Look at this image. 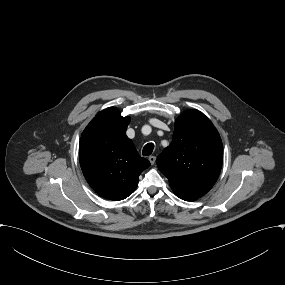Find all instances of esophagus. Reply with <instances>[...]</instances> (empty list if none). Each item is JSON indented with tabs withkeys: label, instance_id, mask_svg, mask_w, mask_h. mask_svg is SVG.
<instances>
[{
	"label": "esophagus",
	"instance_id": "34e87169",
	"mask_svg": "<svg viewBox=\"0 0 285 285\" xmlns=\"http://www.w3.org/2000/svg\"><path fill=\"white\" fill-rule=\"evenodd\" d=\"M148 159H149L151 165H153L155 163V161H156V157L155 156H150Z\"/></svg>",
	"mask_w": 285,
	"mask_h": 285
}]
</instances>
